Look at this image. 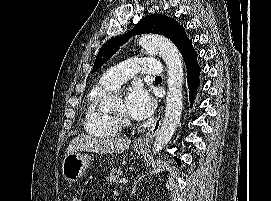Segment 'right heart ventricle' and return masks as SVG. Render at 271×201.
<instances>
[{
    "label": "right heart ventricle",
    "instance_id": "1",
    "mask_svg": "<svg viewBox=\"0 0 271 201\" xmlns=\"http://www.w3.org/2000/svg\"><path fill=\"white\" fill-rule=\"evenodd\" d=\"M109 91L110 88L98 86L87 97L84 127L87 133L95 137L116 136L123 129V124L100 105Z\"/></svg>",
    "mask_w": 271,
    "mask_h": 201
}]
</instances>
